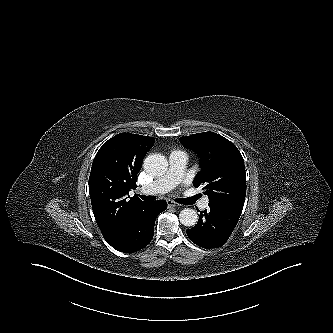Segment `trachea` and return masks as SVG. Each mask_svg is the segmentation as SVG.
Masks as SVG:
<instances>
[{
	"label": "trachea",
	"instance_id": "1",
	"mask_svg": "<svg viewBox=\"0 0 333 333\" xmlns=\"http://www.w3.org/2000/svg\"><path fill=\"white\" fill-rule=\"evenodd\" d=\"M140 198L144 201H153L156 199V197L154 196H145V195H140ZM196 198L198 199L199 196H197ZM178 203L185 204V201L183 199H179Z\"/></svg>",
	"mask_w": 333,
	"mask_h": 333
}]
</instances>
